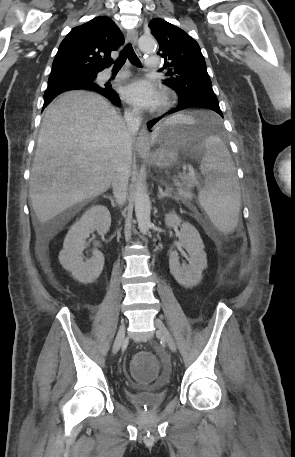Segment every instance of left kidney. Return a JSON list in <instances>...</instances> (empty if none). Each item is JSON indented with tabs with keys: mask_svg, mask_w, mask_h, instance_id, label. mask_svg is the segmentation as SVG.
<instances>
[{
	"mask_svg": "<svg viewBox=\"0 0 295 457\" xmlns=\"http://www.w3.org/2000/svg\"><path fill=\"white\" fill-rule=\"evenodd\" d=\"M165 224L167 227L180 226V248H185L189 255V264L181 266L177 251H172L169 255L170 272L180 285L192 288L201 280L202 271L207 267L203 241L197 229L189 222H183L175 212L165 215Z\"/></svg>",
	"mask_w": 295,
	"mask_h": 457,
	"instance_id": "obj_1",
	"label": "left kidney"
}]
</instances>
